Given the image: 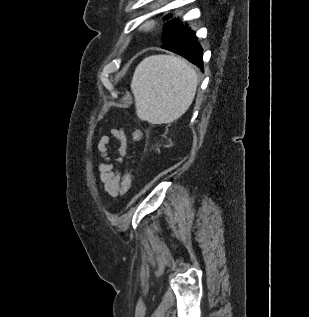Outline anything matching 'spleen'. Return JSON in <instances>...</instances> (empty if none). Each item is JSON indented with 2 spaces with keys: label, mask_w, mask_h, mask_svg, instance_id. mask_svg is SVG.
Instances as JSON below:
<instances>
[{
  "label": "spleen",
  "mask_w": 309,
  "mask_h": 317,
  "mask_svg": "<svg viewBox=\"0 0 309 317\" xmlns=\"http://www.w3.org/2000/svg\"><path fill=\"white\" fill-rule=\"evenodd\" d=\"M197 84V72L185 60L173 55L146 57L131 82L137 116L152 124L177 120L192 104Z\"/></svg>",
  "instance_id": "obj_1"
}]
</instances>
